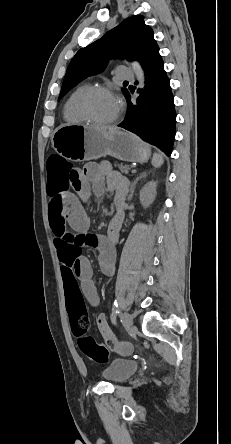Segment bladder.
<instances>
[{"label": "bladder", "mask_w": 231, "mask_h": 444, "mask_svg": "<svg viewBox=\"0 0 231 444\" xmlns=\"http://www.w3.org/2000/svg\"><path fill=\"white\" fill-rule=\"evenodd\" d=\"M139 364L132 360L114 359L102 372V376L110 383H121L133 375Z\"/></svg>", "instance_id": "obj_1"}]
</instances>
